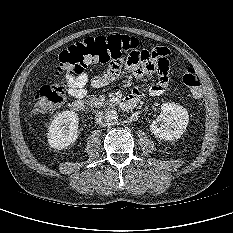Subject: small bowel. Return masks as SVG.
Segmentation results:
<instances>
[{
	"label": "small bowel",
	"instance_id": "c3829d8e",
	"mask_svg": "<svg viewBox=\"0 0 233 233\" xmlns=\"http://www.w3.org/2000/svg\"><path fill=\"white\" fill-rule=\"evenodd\" d=\"M157 50V51H156ZM167 48L142 47L128 51L120 60H111L104 71L93 77L87 72L69 78L68 94L78 100L87 96L86 86L90 83L95 88L104 87L113 82L122 72L136 75L142 78H149L155 73L158 79L150 86L149 93L153 96L163 94L168 87L167 74L171 70V63L167 59L169 56ZM131 95L142 97L138 88L133 89Z\"/></svg>",
	"mask_w": 233,
	"mask_h": 233
}]
</instances>
